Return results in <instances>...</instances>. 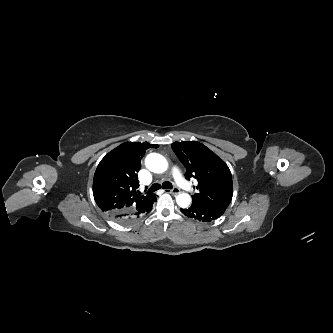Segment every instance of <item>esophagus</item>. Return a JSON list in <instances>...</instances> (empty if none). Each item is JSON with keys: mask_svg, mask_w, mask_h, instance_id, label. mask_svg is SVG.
<instances>
[{"mask_svg": "<svg viewBox=\"0 0 333 333\" xmlns=\"http://www.w3.org/2000/svg\"><path fill=\"white\" fill-rule=\"evenodd\" d=\"M167 193L173 194V195H177L179 194L180 190L178 188H173V189H166L165 190Z\"/></svg>", "mask_w": 333, "mask_h": 333, "instance_id": "34e87169", "label": "esophagus"}]
</instances>
